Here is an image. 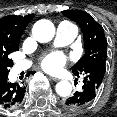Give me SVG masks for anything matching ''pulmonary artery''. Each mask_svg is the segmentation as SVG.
Segmentation results:
<instances>
[{
    "instance_id": "pulmonary-artery-1",
    "label": "pulmonary artery",
    "mask_w": 117,
    "mask_h": 117,
    "mask_svg": "<svg viewBox=\"0 0 117 117\" xmlns=\"http://www.w3.org/2000/svg\"><path fill=\"white\" fill-rule=\"evenodd\" d=\"M78 33L76 25L69 21H62L58 24L56 29V36L54 44L57 46H65L74 41ZM29 61H21L16 65V70H24L30 66Z\"/></svg>"
}]
</instances>
